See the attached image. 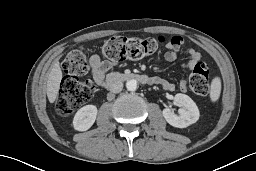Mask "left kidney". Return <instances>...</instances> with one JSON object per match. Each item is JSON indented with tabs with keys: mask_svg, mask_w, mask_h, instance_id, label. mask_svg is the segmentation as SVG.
Masks as SVG:
<instances>
[{
	"mask_svg": "<svg viewBox=\"0 0 256 171\" xmlns=\"http://www.w3.org/2000/svg\"><path fill=\"white\" fill-rule=\"evenodd\" d=\"M174 100L182 106L178 110L179 115H176L172 108H165L162 111L165 120L171 126L185 128L199 119L198 107L189 96L178 93L175 95Z\"/></svg>",
	"mask_w": 256,
	"mask_h": 171,
	"instance_id": "left-kidney-1",
	"label": "left kidney"
}]
</instances>
